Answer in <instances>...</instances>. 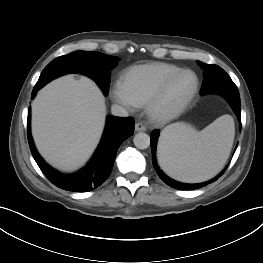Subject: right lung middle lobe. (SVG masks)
I'll return each mask as SVG.
<instances>
[{"label":"right lung middle lobe","instance_id":"right-lung-middle-lobe-1","mask_svg":"<svg viewBox=\"0 0 263 263\" xmlns=\"http://www.w3.org/2000/svg\"><path fill=\"white\" fill-rule=\"evenodd\" d=\"M119 59L95 51H77L51 61L42 71L36 86L43 87L49 81L67 74L80 73L97 82L105 95L108 94L109 72Z\"/></svg>","mask_w":263,"mask_h":263}]
</instances>
